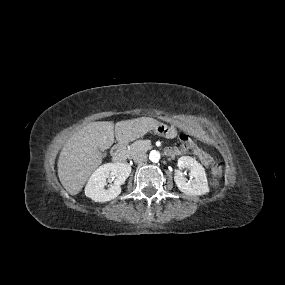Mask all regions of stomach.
Listing matches in <instances>:
<instances>
[{"mask_svg":"<svg viewBox=\"0 0 285 285\" xmlns=\"http://www.w3.org/2000/svg\"><path fill=\"white\" fill-rule=\"evenodd\" d=\"M154 132L158 135L171 137L176 133V130L173 126H168L166 124H159L155 129Z\"/></svg>","mask_w":285,"mask_h":285,"instance_id":"obj_1","label":"stomach"}]
</instances>
